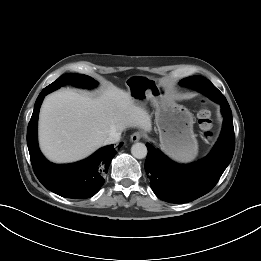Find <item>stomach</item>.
<instances>
[{
	"label": "stomach",
	"mask_w": 261,
	"mask_h": 261,
	"mask_svg": "<svg viewBox=\"0 0 261 261\" xmlns=\"http://www.w3.org/2000/svg\"><path fill=\"white\" fill-rule=\"evenodd\" d=\"M127 87L135 104L143 106L150 100L156 107L155 123L163 151L178 161L193 160L198 153V143L192 113L177 104L156 78L134 75L127 80Z\"/></svg>",
	"instance_id": "stomach-1"
}]
</instances>
